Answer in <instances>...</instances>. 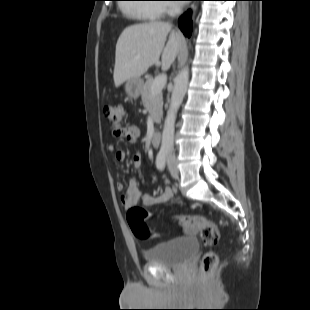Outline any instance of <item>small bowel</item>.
I'll use <instances>...</instances> for the list:
<instances>
[{
    "instance_id": "c3829d8e",
    "label": "small bowel",
    "mask_w": 310,
    "mask_h": 310,
    "mask_svg": "<svg viewBox=\"0 0 310 310\" xmlns=\"http://www.w3.org/2000/svg\"><path fill=\"white\" fill-rule=\"evenodd\" d=\"M113 134L116 137L125 138L129 143L135 144L139 139L140 132L137 126L129 125L121 127L118 129H113ZM109 153L113 154L117 161H123L125 159V152L119 149L115 144L111 143L107 146ZM143 163V156L141 153L136 152L132 156V165L134 169L141 167ZM116 188L121 191L124 189V184L118 182ZM173 198V192L171 189L167 188L159 194H144L139 190L138 181L136 178H131L126 187L124 194L121 195L120 201L124 208H130L131 206L137 204L139 201L142 202L144 206L150 207L156 204H164L171 201ZM187 232H190L186 229Z\"/></svg>"
}]
</instances>
